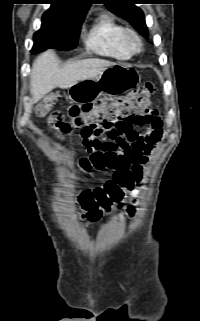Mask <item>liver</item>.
<instances>
[{"mask_svg":"<svg viewBox=\"0 0 200 321\" xmlns=\"http://www.w3.org/2000/svg\"><path fill=\"white\" fill-rule=\"evenodd\" d=\"M112 65L113 62L103 59H84L61 66L54 51H45L32 66L30 92L33 102H38L56 87L67 89L79 81L96 78Z\"/></svg>","mask_w":200,"mask_h":321,"instance_id":"1","label":"liver"}]
</instances>
